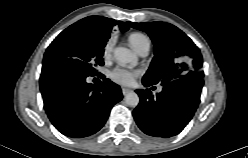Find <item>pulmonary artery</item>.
Returning <instances> with one entry per match:
<instances>
[{
    "label": "pulmonary artery",
    "mask_w": 248,
    "mask_h": 158,
    "mask_svg": "<svg viewBox=\"0 0 248 158\" xmlns=\"http://www.w3.org/2000/svg\"><path fill=\"white\" fill-rule=\"evenodd\" d=\"M149 50H150V42L149 40L148 41H145L143 43V45L138 49V54L141 55V56H145L149 53ZM161 90V88L159 89V91Z\"/></svg>",
    "instance_id": "e3ab8cb5"
}]
</instances>
